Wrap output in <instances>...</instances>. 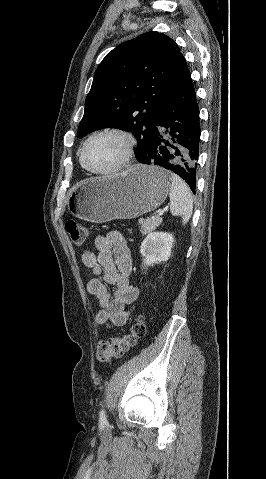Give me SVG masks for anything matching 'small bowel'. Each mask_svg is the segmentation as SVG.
I'll return each instance as SVG.
<instances>
[{"mask_svg":"<svg viewBox=\"0 0 266 479\" xmlns=\"http://www.w3.org/2000/svg\"><path fill=\"white\" fill-rule=\"evenodd\" d=\"M82 262L94 276L87 281L86 289L98 300L95 322L108 328L123 326L131 313L127 306L134 304L139 294L129 282L133 264L124 236L118 231L98 235L94 246L83 252Z\"/></svg>","mask_w":266,"mask_h":479,"instance_id":"c3829d8e","label":"small bowel"}]
</instances>
